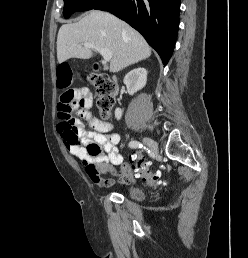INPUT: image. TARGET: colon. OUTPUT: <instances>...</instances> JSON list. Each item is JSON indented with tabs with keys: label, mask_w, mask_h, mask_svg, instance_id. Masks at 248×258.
I'll return each mask as SVG.
<instances>
[{
	"label": "colon",
	"mask_w": 248,
	"mask_h": 258,
	"mask_svg": "<svg viewBox=\"0 0 248 258\" xmlns=\"http://www.w3.org/2000/svg\"><path fill=\"white\" fill-rule=\"evenodd\" d=\"M58 84L65 89L62 95V100L58 104V127L65 131L66 138L73 143L78 142V136L76 128L74 126L73 112L76 105L75 93L76 89L69 87V80L71 71L66 64H60ZM90 83L95 89L97 94V107L99 109L102 118L109 117L110 111L114 105V84L113 82L103 74H95L90 76ZM87 157L92 160L87 164L88 174L95 180H101L99 177L100 167L96 164L95 160L101 155L100 145L92 140L87 145ZM142 151H132V155H129V169L128 172L132 175H138V178L142 180L146 186H154L161 183L159 172H148V163H145L143 159Z\"/></svg>",
	"instance_id": "1"
}]
</instances>
